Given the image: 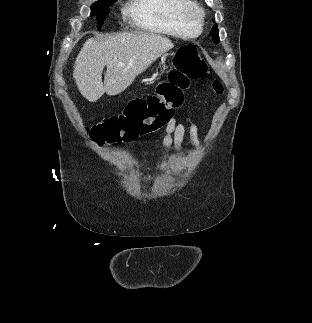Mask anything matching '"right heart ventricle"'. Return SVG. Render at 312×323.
Segmentation results:
<instances>
[{
    "mask_svg": "<svg viewBox=\"0 0 312 323\" xmlns=\"http://www.w3.org/2000/svg\"><path fill=\"white\" fill-rule=\"evenodd\" d=\"M125 20H134L137 29L151 33H197L199 23L185 1L131 0Z\"/></svg>",
    "mask_w": 312,
    "mask_h": 323,
    "instance_id": "e07e8e85",
    "label": "right heart ventricle"
}]
</instances>
